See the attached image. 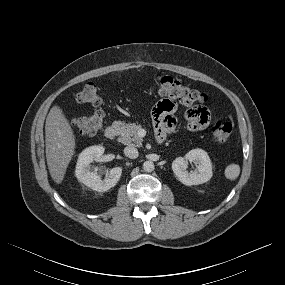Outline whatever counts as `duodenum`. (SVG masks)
I'll return each mask as SVG.
<instances>
[{
	"label": "duodenum",
	"mask_w": 285,
	"mask_h": 285,
	"mask_svg": "<svg viewBox=\"0 0 285 285\" xmlns=\"http://www.w3.org/2000/svg\"><path fill=\"white\" fill-rule=\"evenodd\" d=\"M118 133V128L116 126H108L104 130V137L108 140H113Z\"/></svg>",
	"instance_id": "duodenum-1"
}]
</instances>
